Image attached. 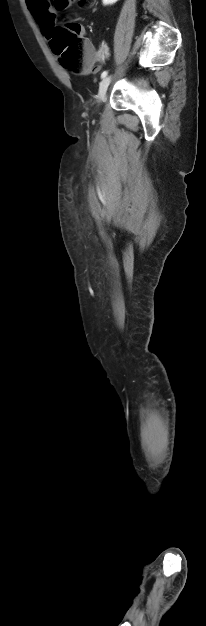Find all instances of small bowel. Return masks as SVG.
I'll return each mask as SVG.
<instances>
[{
  "instance_id": "obj_1",
  "label": "small bowel",
  "mask_w": 206,
  "mask_h": 626,
  "mask_svg": "<svg viewBox=\"0 0 206 626\" xmlns=\"http://www.w3.org/2000/svg\"><path fill=\"white\" fill-rule=\"evenodd\" d=\"M29 7L31 12L33 13L35 19L39 22L41 26V30L48 40L51 48L53 49V33L55 30V13L51 10L47 4L46 0H32L29 3ZM79 36L85 38L86 30L84 27H80ZM85 46L88 50V55L82 67V70L79 72L80 75H89L98 70V63L102 60H105L109 56V48L106 44H102L99 49H94L91 42L85 38L84 40ZM54 51V49H53ZM55 52V51H54ZM55 54H57L55 52ZM59 55V54H57ZM62 64L65 66L63 60L61 59ZM69 70V69H68Z\"/></svg>"
}]
</instances>
